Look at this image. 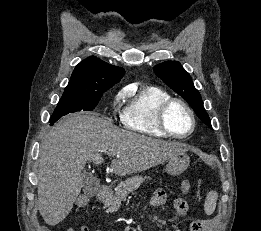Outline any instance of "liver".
Wrapping results in <instances>:
<instances>
[{
	"instance_id": "obj_1",
	"label": "liver",
	"mask_w": 261,
	"mask_h": 231,
	"mask_svg": "<svg viewBox=\"0 0 261 231\" xmlns=\"http://www.w3.org/2000/svg\"><path fill=\"white\" fill-rule=\"evenodd\" d=\"M187 150L179 142L119 129L95 114H71L59 121L41 144L39 212L51 226L64 220L81 192V171L86 162L101 164L102 153H114L116 158L111 168L116 175L126 176L157 166Z\"/></svg>"
}]
</instances>
